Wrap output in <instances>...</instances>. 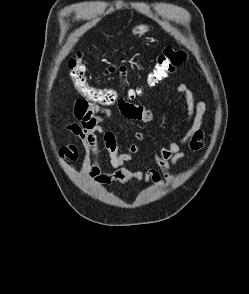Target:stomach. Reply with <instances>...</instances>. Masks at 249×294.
Listing matches in <instances>:
<instances>
[{"label": "stomach", "mask_w": 249, "mask_h": 294, "mask_svg": "<svg viewBox=\"0 0 249 294\" xmlns=\"http://www.w3.org/2000/svg\"><path fill=\"white\" fill-rule=\"evenodd\" d=\"M150 27L148 25L140 24L132 28V33L134 35L142 36L149 31Z\"/></svg>", "instance_id": "obj_1"}]
</instances>
